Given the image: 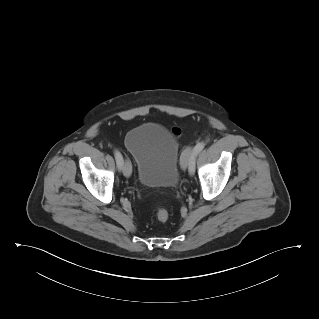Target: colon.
Here are the masks:
<instances>
[{"label": "colon", "instance_id": "obj_1", "mask_svg": "<svg viewBox=\"0 0 319 319\" xmlns=\"http://www.w3.org/2000/svg\"><path fill=\"white\" fill-rule=\"evenodd\" d=\"M156 218L160 221V222H165L168 220L169 218V212L166 208L159 206L156 210Z\"/></svg>", "mask_w": 319, "mask_h": 319}]
</instances>
